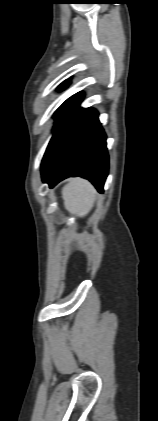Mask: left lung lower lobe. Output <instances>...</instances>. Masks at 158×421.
Masks as SVG:
<instances>
[{"instance_id": "left-lung-lower-lobe-1", "label": "left lung lower lobe", "mask_w": 158, "mask_h": 421, "mask_svg": "<svg viewBox=\"0 0 158 421\" xmlns=\"http://www.w3.org/2000/svg\"><path fill=\"white\" fill-rule=\"evenodd\" d=\"M75 94L56 114L53 137L42 160V180L53 188L70 176L90 180L100 193L108 174L106 135L92 108H80Z\"/></svg>"}]
</instances>
